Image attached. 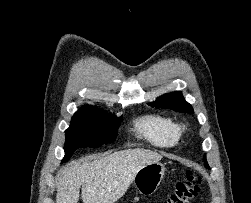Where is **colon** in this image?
<instances>
[{"mask_svg": "<svg viewBox=\"0 0 251 203\" xmlns=\"http://www.w3.org/2000/svg\"><path fill=\"white\" fill-rule=\"evenodd\" d=\"M202 179L188 170L186 178L176 183L174 192L162 203H191L200 193Z\"/></svg>", "mask_w": 251, "mask_h": 203, "instance_id": "1", "label": "colon"}]
</instances>
